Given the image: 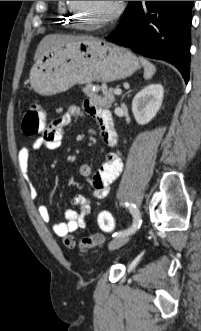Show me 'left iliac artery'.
Returning a JSON list of instances; mask_svg holds the SVG:
<instances>
[{
  "label": "left iliac artery",
  "mask_w": 201,
  "mask_h": 331,
  "mask_svg": "<svg viewBox=\"0 0 201 331\" xmlns=\"http://www.w3.org/2000/svg\"><path fill=\"white\" fill-rule=\"evenodd\" d=\"M126 206H128V203L126 204ZM130 212L133 216V224L130 228H128L127 230H122L119 232H116L113 234V237H119V236H125V235H130L135 233L141 226L142 223V219H141V214L139 212V210L136 208L135 205H131L129 207Z\"/></svg>",
  "instance_id": "obj_1"
}]
</instances>
